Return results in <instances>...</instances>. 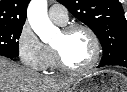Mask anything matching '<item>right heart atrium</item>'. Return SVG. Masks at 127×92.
I'll list each match as a JSON object with an SVG mask.
<instances>
[{"mask_svg":"<svg viewBox=\"0 0 127 92\" xmlns=\"http://www.w3.org/2000/svg\"><path fill=\"white\" fill-rule=\"evenodd\" d=\"M17 51L22 64L33 70L43 71L47 68L50 51L28 23H25L17 38Z\"/></svg>","mask_w":127,"mask_h":92,"instance_id":"d8ad5b80","label":"right heart atrium"}]
</instances>
